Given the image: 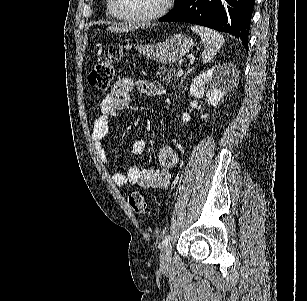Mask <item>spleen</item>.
Returning a JSON list of instances; mask_svg holds the SVG:
<instances>
[{"label":"spleen","instance_id":"1","mask_svg":"<svg viewBox=\"0 0 307 301\" xmlns=\"http://www.w3.org/2000/svg\"><path fill=\"white\" fill-rule=\"evenodd\" d=\"M191 30L197 32L203 42L204 50L201 54L203 62H210L225 42L223 34L217 32V30H213V28L198 26V24H192Z\"/></svg>","mask_w":307,"mask_h":301}]
</instances>
